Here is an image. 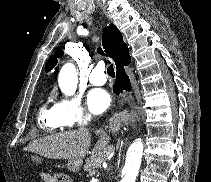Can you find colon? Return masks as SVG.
Returning <instances> with one entry per match:
<instances>
[{"label": "colon", "instance_id": "1", "mask_svg": "<svg viewBox=\"0 0 211 182\" xmlns=\"http://www.w3.org/2000/svg\"><path fill=\"white\" fill-rule=\"evenodd\" d=\"M46 182H68L66 175L61 173H47Z\"/></svg>", "mask_w": 211, "mask_h": 182}]
</instances>
